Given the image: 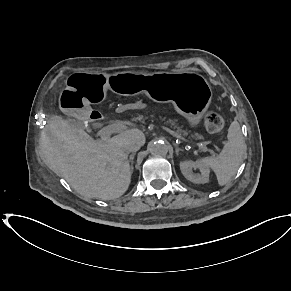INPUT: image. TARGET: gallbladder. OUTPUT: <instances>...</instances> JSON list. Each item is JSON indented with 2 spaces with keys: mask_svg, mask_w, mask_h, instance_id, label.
I'll return each mask as SVG.
<instances>
[{
  "mask_svg": "<svg viewBox=\"0 0 291 291\" xmlns=\"http://www.w3.org/2000/svg\"><path fill=\"white\" fill-rule=\"evenodd\" d=\"M68 123L71 125V126H74V127H82V124L78 121H75V120H72V119H69L68 120Z\"/></svg>",
  "mask_w": 291,
  "mask_h": 291,
  "instance_id": "gallbladder-1",
  "label": "gallbladder"
}]
</instances>
